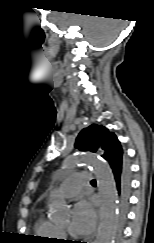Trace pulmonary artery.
Here are the masks:
<instances>
[{
	"label": "pulmonary artery",
	"mask_w": 154,
	"mask_h": 243,
	"mask_svg": "<svg viewBox=\"0 0 154 243\" xmlns=\"http://www.w3.org/2000/svg\"><path fill=\"white\" fill-rule=\"evenodd\" d=\"M91 172L79 171L72 174L61 184V191L65 197L75 196L82 188L83 184L91 179Z\"/></svg>",
	"instance_id": "pulmonary-artery-1"
}]
</instances>
